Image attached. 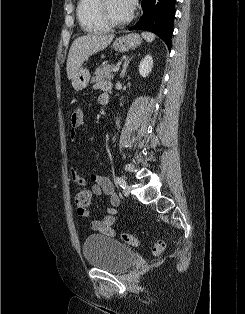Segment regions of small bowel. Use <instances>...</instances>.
I'll use <instances>...</instances> for the list:
<instances>
[{
	"label": "small bowel",
	"mask_w": 245,
	"mask_h": 314,
	"mask_svg": "<svg viewBox=\"0 0 245 314\" xmlns=\"http://www.w3.org/2000/svg\"><path fill=\"white\" fill-rule=\"evenodd\" d=\"M93 87L95 89L102 90L101 95L98 97V102L102 105L108 102L110 89V84L107 82H97L94 83ZM107 97V101L102 99V96ZM84 123V112L82 108L75 109L70 117V137L72 141H75L77 138L78 130L83 126ZM94 138L91 137L90 140ZM71 179L73 183L79 187H84L87 184L86 178L81 175L76 169L71 170ZM91 181L93 182L91 186L90 193L96 196L105 194L110 198V206L106 208V215L101 219L91 220L90 228L91 230L101 233L108 237H114L116 235V230L113 228V224L116 222L118 217V208L120 206V199L114 191V186L111 181L104 176L93 174L90 176ZM82 217L91 219V213L88 211L84 214L79 213Z\"/></svg>",
	"instance_id": "small-bowel-1"
}]
</instances>
